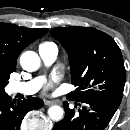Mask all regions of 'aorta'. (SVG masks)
<instances>
[{
  "label": "aorta",
  "mask_w": 130,
  "mask_h": 130,
  "mask_svg": "<svg viewBox=\"0 0 130 130\" xmlns=\"http://www.w3.org/2000/svg\"><path fill=\"white\" fill-rule=\"evenodd\" d=\"M22 68L28 72H34L41 65L40 57L34 51H26L20 57ZM64 110L58 105H53L48 109V116L53 121H60L63 118Z\"/></svg>",
  "instance_id": "762f6f07"
}]
</instances>
